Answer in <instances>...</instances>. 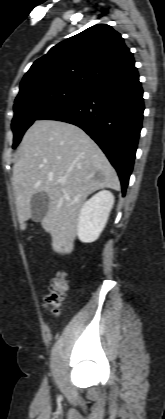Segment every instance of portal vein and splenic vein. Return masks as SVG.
<instances>
[{
	"label": "portal vein and splenic vein",
	"mask_w": 165,
	"mask_h": 419,
	"mask_svg": "<svg viewBox=\"0 0 165 419\" xmlns=\"http://www.w3.org/2000/svg\"><path fill=\"white\" fill-rule=\"evenodd\" d=\"M60 182L61 183H65L66 181H65V179H61Z\"/></svg>",
	"instance_id": "portal-vein-and-splenic-vein-1"
}]
</instances>
